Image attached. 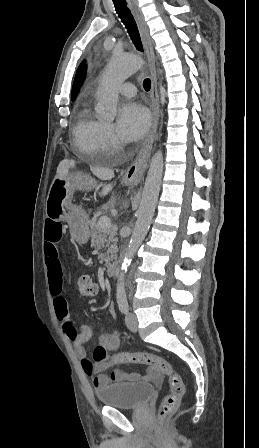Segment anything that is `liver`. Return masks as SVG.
<instances>
[{"label":"liver","mask_w":259,"mask_h":448,"mask_svg":"<svg viewBox=\"0 0 259 448\" xmlns=\"http://www.w3.org/2000/svg\"><path fill=\"white\" fill-rule=\"evenodd\" d=\"M74 166H75L74 160H66V162H62V164H60L57 170L58 176H61V178H65L68 172V168H74Z\"/></svg>","instance_id":"liver-1"}]
</instances>
